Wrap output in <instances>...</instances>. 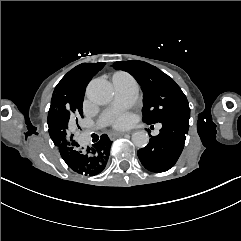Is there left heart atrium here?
<instances>
[{"label": "left heart atrium", "instance_id": "1", "mask_svg": "<svg viewBox=\"0 0 241 241\" xmlns=\"http://www.w3.org/2000/svg\"><path fill=\"white\" fill-rule=\"evenodd\" d=\"M132 124V119L130 116L125 115L119 118H116L112 122V126L116 129H126Z\"/></svg>", "mask_w": 241, "mask_h": 241}]
</instances>
